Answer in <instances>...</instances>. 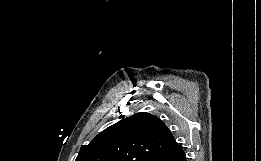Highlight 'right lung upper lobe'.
Instances as JSON below:
<instances>
[{"label":"right lung upper lobe","mask_w":261,"mask_h":161,"mask_svg":"<svg viewBox=\"0 0 261 161\" xmlns=\"http://www.w3.org/2000/svg\"><path fill=\"white\" fill-rule=\"evenodd\" d=\"M180 149L159 118L141 112L99 133L75 161H155Z\"/></svg>","instance_id":"obj_1"}]
</instances>
